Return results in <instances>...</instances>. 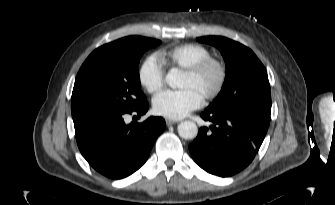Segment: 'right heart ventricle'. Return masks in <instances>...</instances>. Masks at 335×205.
<instances>
[{"mask_svg":"<svg viewBox=\"0 0 335 205\" xmlns=\"http://www.w3.org/2000/svg\"><path fill=\"white\" fill-rule=\"evenodd\" d=\"M163 62L170 67L187 69L199 61L210 57V51L203 45L185 43L159 53Z\"/></svg>","mask_w":335,"mask_h":205,"instance_id":"e07e8e85","label":"right heart ventricle"}]
</instances>
